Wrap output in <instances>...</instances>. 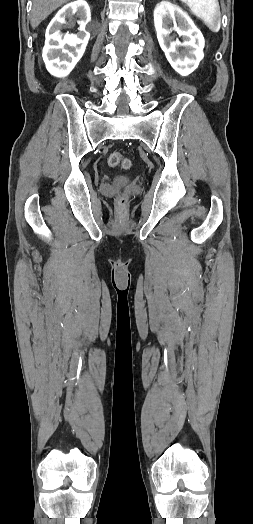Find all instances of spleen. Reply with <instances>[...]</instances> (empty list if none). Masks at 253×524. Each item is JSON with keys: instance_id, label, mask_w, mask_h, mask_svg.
<instances>
[{"instance_id": "3e777b00", "label": "spleen", "mask_w": 253, "mask_h": 524, "mask_svg": "<svg viewBox=\"0 0 253 524\" xmlns=\"http://www.w3.org/2000/svg\"><path fill=\"white\" fill-rule=\"evenodd\" d=\"M186 3L192 13L201 19L212 31L218 32L221 27L220 7L218 0H180Z\"/></svg>"}]
</instances>
